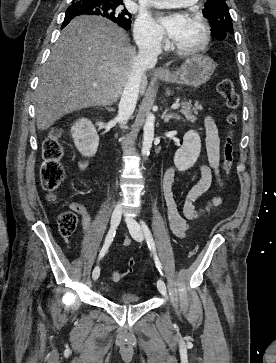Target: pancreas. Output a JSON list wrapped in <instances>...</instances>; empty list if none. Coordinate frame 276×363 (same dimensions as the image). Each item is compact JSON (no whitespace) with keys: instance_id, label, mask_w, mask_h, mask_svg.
Masks as SVG:
<instances>
[{"instance_id":"1","label":"pancreas","mask_w":276,"mask_h":363,"mask_svg":"<svg viewBox=\"0 0 276 363\" xmlns=\"http://www.w3.org/2000/svg\"><path fill=\"white\" fill-rule=\"evenodd\" d=\"M181 105L180 113L183 114L185 119L190 122H195L197 120L196 115L198 114V111L203 110L202 105L199 104L198 101H196L194 105H192L191 101H184Z\"/></svg>"}]
</instances>
